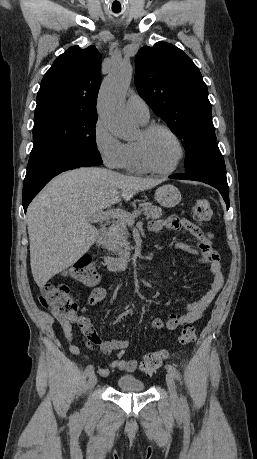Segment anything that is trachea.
Returning a JSON list of instances; mask_svg holds the SVG:
<instances>
[{
    "mask_svg": "<svg viewBox=\"0 0 257 459\" xmlns=\"http://www.w3.org/2000/svg\"><path fill=\"white\" fill-rule=\"evenodd\" d=\"M115 13H119V11H114Z\"/></svg>",
    "mask_w": 257,
    "mask_h": 459,
    "instance_id": "3493384b",
    "label": "trachea"
}]
</instances>
